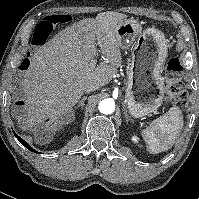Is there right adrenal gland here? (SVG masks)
<instances>
[{"label": "right adrenal gland", "instance_id": "2a0ac1e0", "mask_svg": "<svg viewBox=\"0 0 199 199\" xmlns=\"http://www.w3.org/2000/svg\"><path fill=\"white\" fill-rule=\"evenodd\" d=\"M86 99H87V97L84 96V97L81 99V101L78 103V105L75 107V109H77V108H79V107L83 108V107H84V102H85Z\"/></svg>", "mask_w": 199, "mask_h": 199}]
</instances>
